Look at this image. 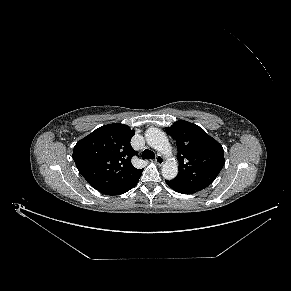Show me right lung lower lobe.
<instances>
[{"label":"right lung lower lobe","mask_w":291,"mask_h":291,"mask_svg":"<svg viewBox=\"0 0 291 291\" xmlns=\"http://www.w3.org/2000/svg\"><path fill=\"white\" fill-rule=\"evenodd\" d=\"M138 180L133 185H131L130 187H128L124 192H122L120 194H123V193L127 192L128 190H130L131 188H133L137 184ZM117 195H119V194H117Z\"/></svg>","instance_id":"obj_1"}]
</instances>
